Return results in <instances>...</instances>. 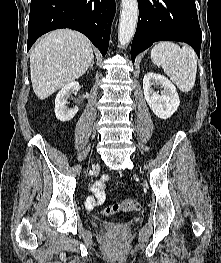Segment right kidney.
Returning a JSON list of instances; mask_svg holds the SVG:
<instances>
[{
	"label": "right kidney",
	"mask_w": 221,
	"mask_h": 263,
	"mask_svg": "<svg viewBox=\"0 0 221 263\" xmlns=\"http://www.w3.org/2000/svg\"><path fill=\"white\" fill-rule=\"evenodd\" d=\"M80 84L78 82H71L65 85L57 94L55 99V115L61 122H66L71 120L75 114L78 112V107L67 108V99L72 92L78 90Z\"/></svg>",
	"instance_id": "1"
}]
</instances>
